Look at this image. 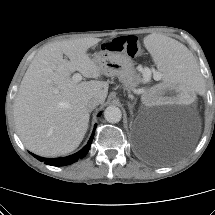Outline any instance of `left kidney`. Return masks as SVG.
I'll use <instances>...</instances> for the list:
<instances>
[{
  "label": "left kidney",
  "mask_w": 215,
  "mask_h": 215,
  "mask_svg": "<svg viewBox=\"0 0 215 215\" xmlns=\"http://www.w3.org/2000/svg\"><path fill=\"white\" fill-rule=\"evenodd\" d=\"M194 98L195 95L188 93L184 85L174 83L153 86L143 92V99L146 102H156L157 104L191 102Z\"/></svg>",
  "instance_id": "1"
}]
</instances>
